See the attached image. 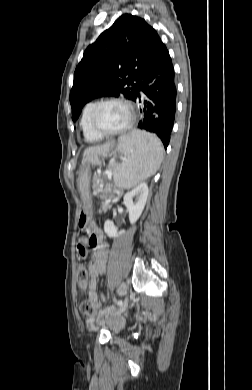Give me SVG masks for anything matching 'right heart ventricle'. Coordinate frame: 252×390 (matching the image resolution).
Instances as JSON below:
<instances>
[{
  "mask_svg": "<svg viewBox=\"0 0 252 390\" xmlns=\"http://www.w3.org/2000/svg\"><path fill=\"white\" fill-rule=\"evenodd\" d=\"M94 104L95 102H89L85 105L80 119L81 130L83 132L84 138L88 142H97L103 138L102 135L93 130L90 124V114Z\"/></svg>",
  "mask_w": 252,
  "mask_h": 390,
  "instance_id": "e07e8e85",
  "label": "right heart ventricle"
}]
</instances>
